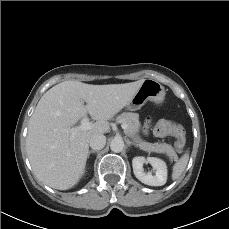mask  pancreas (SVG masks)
I'll return each mask as SVG.
<instances>
[{
	"label": "pancreas",
	"instance_id": "pancreas-1",
	"mask_svg": "<svg viewBox=\"0 0 229 229\" xmlns=\"http://www.w3.org/2000/svg\"><path fill=\"white\" fill-rule=\"evenodd\" d=\"M116 121L119 123H125L128 125V129L125 133L133 139L134 144L139 147L140 149L146 152H156V153H163L166 154L169 159L172 161L177 159V154L174 148L167 143H149L143 141L140 136L138 135L140 130V122H139V115L136 113H129L124 112L120 114Z\"/></svg>",
	"mask_w": 229,
	"mask_h": 229
}]
</instances>
